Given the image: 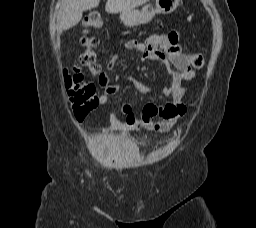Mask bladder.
Segmentation results:
<instances>
[{"mask_svg":"<svg viewBox=\"0 0 256 228\" xmlns=\"http://www.w3.org/2000/svg\"><path fill=\"white\" fill-rule=\"evenodd\" d=\"M136 150L135 143L127 136H103L99 143L100 153L106 157L127 156Z\"/></svg>","mask_w":256,"mask_h":228,"instance_id":"31cf9c89","label":"bladder"}]
</instances>
